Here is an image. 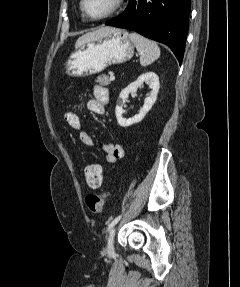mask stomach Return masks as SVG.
Wrapping results in <instances>:
<instances>
[{"instance_id":"stomach-1","label":"stomach","mask_w":240,"mask_h":287,"mask_svg":"<svg viewBox=\"0 0 240 287\" xmlns=\"http://www.w3.org/2000/svg\"><path fill=\"white\" fill-rule=\"evenodd\" d=\"M134 55V45L124 29L115 28L108 34L76 48L66 63L71 77L99 73L113 64H120Z\"/></svg>"}]
</instances>
